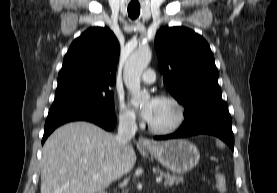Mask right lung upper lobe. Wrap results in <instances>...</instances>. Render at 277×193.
Wrapping results in <instances>:
<instances>
[{"label": "right lung upper lobe", "instance_id": "1", "mask_svg": "<svg viewBox=\"0 0 277 193\" xmlns=\"http://www.w3.org/2000/svg\"><path fill=\"white\" fill-rule=\"evenodd\" d=\"M119 51V42L112 31L108 28H89L73 41L65 55L56 92L113 85Z\"/></svg>", "mask_w": 277, "mask_h": 193}]
</instances>
